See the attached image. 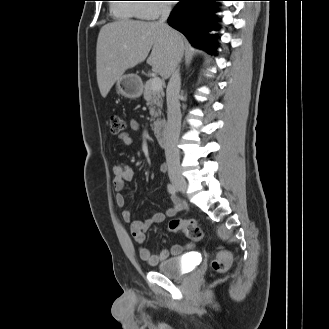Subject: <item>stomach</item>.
I'll return each mask as SVG.
<instances>
[{
  "label": "stomach",
  "instance_id": "0dacf381",
  "mask_svg": "<svg viewBox=\"0 0 329 329\" xmlns=\"http://www.w3.org/2000/svg\"><path fill=\"white\" fill-rule=\"evenodd\" d=\"M116 88L118 94L130 99L139 98L143 92L142 81L136 74L124 75L117 81Z\"/></svg>",
  "mask_w": 329,
  "mask_h": 329
}]
</instances>
